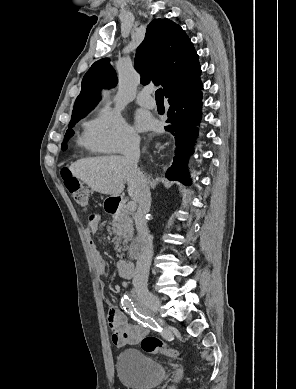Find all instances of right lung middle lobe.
Masks as SVG:
<instances>
[{"mask_svg":"<svg viewBox=\"0 0 296 389\" xmlns=\"http://www.w3.org/2000/svg\"><path fill=\"white\" fill-rule=\"evenodd\" d=\"M92 108L93 107H87V108H83V109H80V110L72 113V117H71V121H70L69 125L73 126L78 120L85 117L92 110ZM73 133L74 132L71 129H68L66 131L64 142L62 144L63 150H65L67 148L65 143L69 140V138L73 135Z\"/></svg>","mask_w":296,"mask_h":389,"instance_id":"dd1d6c3e","label":"right lung middle lobe"}]
</instances>
